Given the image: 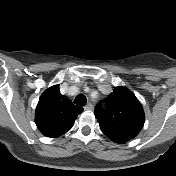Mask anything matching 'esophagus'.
Wrapping results in <instances>:
<instances>
[{"label":"esophagus","mask_w":176,"mask_h":176,"mask_svg":"<svg viewBox=\"0 0 176 176\" xmlns=\"http://www.w3.org/2000/svg\"><path fill=\"white\" fill-rule=\"evenodd\" d=\"M85 110H93V105L91 103H88L85 107Z\"/></svg>","instance_id":"34e87169"}]
</instances>
